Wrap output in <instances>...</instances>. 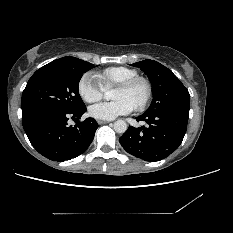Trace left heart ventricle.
I'll list each match as a JSON object with an SVG mask.
<instances>
[{
  "label": "left heart ventricle",
  "instance_id": "1",
  "mask_svg": "<svg viewBox=\"0 0 233 233\" xmlns=\"http://www.w3.org/2000/svg\"><path fill=\"white\" fill-rule=\"evenodd\" d=\"M144 93V87L141 84L136 85L131 90H125L123 88L117 87L114 92V99H127L134 106H137L142 101Z\"/></svg>",
  "mask_w": 233,
  "mask_h": 233
}]
</instances>
